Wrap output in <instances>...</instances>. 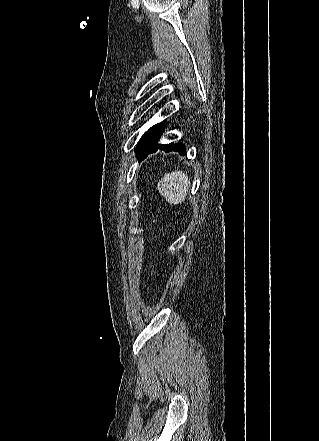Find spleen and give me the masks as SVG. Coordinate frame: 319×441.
<instances>
[{
	"instance_id": "1",
	"label": "spleen",
	"mask_w": 319,
	"mask_h": 441,
	"mask_svg": "<svg viewBox=\"0 0 319 441\" xmlns=\"http://www.w3.org/2000/svg\"><path fill=\"white\" fill-rule=\"evenodd\" d=\"M190 179L182 171L167 173L157 184L159 193L170 204H179L186 199L190 188Z\"/></svg>"
}]
</instances>
